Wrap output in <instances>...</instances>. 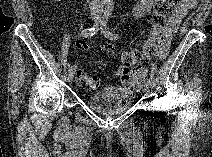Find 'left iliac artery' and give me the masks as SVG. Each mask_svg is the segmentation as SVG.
Masks as SVG:
<instances>
[{
  "instance_id": "left-iliac-artery-1",
  "label": "left iliac artery",
  "mask_w": 212,
  "mask_h": 157,
  "mask_svg": "<svg viewBox=\"0 0 212 157\" xmlns=\"http://www.w3.org/2000/svg\"><path fill=\"white\" fill-rule=\"evenodd\" d=\"M108 16L109 15H106L105 18L103 19L102 23H101V30H102V33L104 34L105 37L113 40V39H116L117 38V35H113L109 28L107 27V19H108ZM144 84H147V85H151L153 86V83L152 81L149 79V78H145L144 79Z\"/></svg>"
}]
</instances>
